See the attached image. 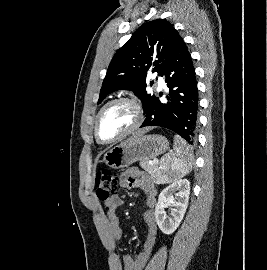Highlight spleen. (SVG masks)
<instances>
[{
	"instance_id": "obj_1",
	"label": "spleen",
	"mask_w": 267,
	"mask_h": 270,
	"mask_svg": "<svg viewBox=\"0 0 267 270\" xmlns=\"http://www.w3.org/2000/svg\"><path fill=\"white\" fill-rule=\"evenodd\" d=\"M192 169V154L186 141L175 135L173 151L161 159L159 182L170 183L187 175Z\"/></svg>"
}]
</instances>
